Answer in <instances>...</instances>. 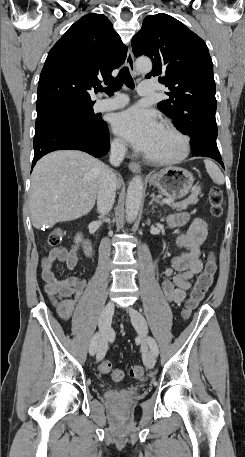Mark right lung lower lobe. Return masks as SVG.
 Returning a JSON list of instances; mask_svg holds the SVG:
<instances>
[{
    "label": "right lung lower lobe",
    "mask_w": 245,
    "mask_h": 457,
    "mask_svg": "<svg viewBox=\"0 0 245 457\" xmlns=\"http://www.w3.org/2000/svg\"><path fill=\"white\" fill-rule=\"evenodd\" d=\"M96 123L73 119H52L35 125L34 158L36 162L47 153L72 149L102 157L110 148L107 123L96 118Z\"/></svg>",
    "instance_id": "1"
}]
</instances>
